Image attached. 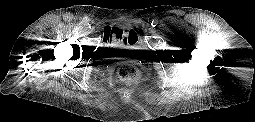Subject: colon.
<instances>
[{"mask_svg": "<svg viewBox=\"0 0 255 122\" xmlns=\"http://www.w3.org/2000/svg\"><path fill=\"white\" fill-rule=\"evenodd\" d=\"M106 33L115 37L120 42L128 41L130 39L133 41L135 40V32L132 30L124 31L122 29L112 27L107 28ZM118 75L125 84H134L140 80L139 70L131 63L121 64L118 68Z\"/></svg>", "mask_w": 255, "mask_h": 122, "instance_id": "5ec220e1", "label": "colon"}]
</instances>
